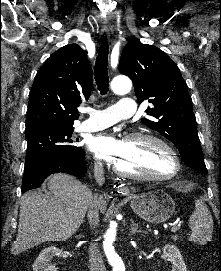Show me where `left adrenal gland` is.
<instances>
[{"label": "left adrenal gland", "instance_id": "obj_1", "mask_svg": "<svg viewBox=\"0 0 221 271\" xmlns=\"http://www.w3.org/2000/svg\"><path fill=\"white\" fill-rule=\"evenodd\" d=\"M138 223H134L133 219H131V231L130 233H136V231H142V229H138Z\"/></svg>", "mask_w": 221, "mask_h": 271}]
</instances>
